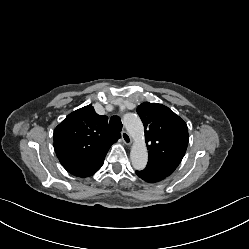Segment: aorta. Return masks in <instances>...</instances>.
<instances>
[{
  "label": "aorta",
  "mask_w": 249,
  "mask_h": 249,
  "mask_svg": "<svg viewBox=\"0 0 249 249\" xmlns=\"http://www.w3.org/2000/svg\"><path fill=\"white\" fill-rule=\"evenodd\" d=\"M123 124L127 131L135 138L131 148L130 159L134 169L143 170L148 162V152L144 141V127L140 118L134 113L123 116Z\"/></svg>",
  "instance_id": "1"
}]
</instances>
